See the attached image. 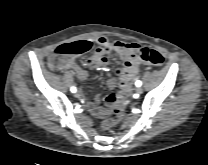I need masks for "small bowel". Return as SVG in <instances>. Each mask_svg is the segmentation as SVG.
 <instances>
[{"mask_svg":"<svg viewBox=\"0 0 208 165\" xmlns=\"http://www.w3.org/2000/svg\"><path fill=\"white\" fill-rule=\"evenodd\" d=\"M87 42L97 45L92 58L86 61L90 67L101 68L106 66L112 52H116L121 56L124 60V67L117 71V77L122 88L130 89V83L137 76L139 66L142 62L139 57L140 46L137 43L111 41L104 36L96 38L93 42ZM60 69L75 72L80 80L86 79L88 75L86 69L77 64L73 58L63 62L60 65ZM107 84L110 88H113L116 82L114 79H110ZM106 101L111 104H116L118 102L117 94L108 93ZM106 112V107H94V113L97 115H103Z\"/></svg>","mask_w":208,"mask_h":165,"instance_id":"c3829d8e","label":"small bowel"}]
</instances>
